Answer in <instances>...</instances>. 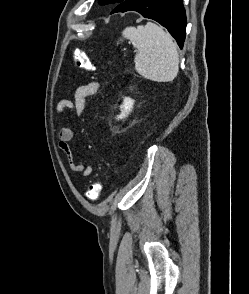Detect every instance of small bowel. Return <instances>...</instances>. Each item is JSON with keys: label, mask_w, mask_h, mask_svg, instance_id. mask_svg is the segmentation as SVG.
Returning a JSON list of instances; mask_svg holds the SVG:
<instances>
[{"label": "small bowel", "mask_w": 249, "mask_h": 294, "mask_svg": "<svg viewBox=\"0 0 249 294\" xmlns=\"http://www.w3.org/2000/svg\"><path fill=\"white\" fill-rule=\"evenodd\" d=\"M99 89V83L96 81L77 87L74 93L73 100H61L56 106V113L60 114L64 110H69L73 117L81 118L86 107L87 98L95 95ZM75 131L71 127L61 128L58 132L59 148L66 156L70 168L74 172L82 173L84 177H89L93 172V167L90 164H84L78 160L69 142L74 138Z\"/></svg>", "instance_id": "c3829d8e"}]
</instances>
